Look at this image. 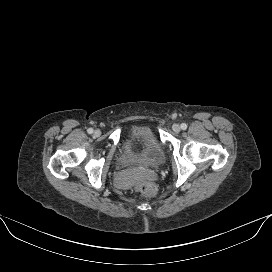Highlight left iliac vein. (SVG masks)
<instances>
[{
    "mask_svg": "<svg viewBox=\"0 0 272 272\" xmlns=\"http://www.w3.org/2000/svg\"><path fill=\"white\" fill-rule=\"evenodd\" d=\"M172 130H173L174 132L178 133V132H180L181 127H180L179 124H173V125H172Z\"/></svg>",
    "mask_w": 272,
    "mask_h": 272,
    "instance_id": "4c4485c4",
    "label": "left iliac vein"
}]
</instances>
